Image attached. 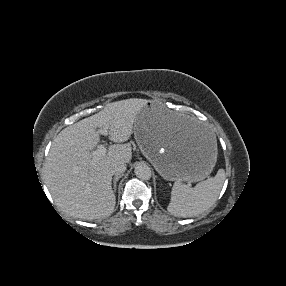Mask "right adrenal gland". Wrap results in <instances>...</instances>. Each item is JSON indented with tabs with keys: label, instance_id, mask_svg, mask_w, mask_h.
<instances>
[{
	"label": "right adrenal gland",
	"instance_id": "right-adrenal-gland-1",
	"mask_svg": "<svg viewBox=\"0 0 286 286\" xmlns=\"http://www.w3.org/2000/svg\"><path fill=\"white\" fill-rule=\"evenodd\" d=\"M122 177V175H119V176H115L114 179H113V190L114 192L116 191V188H117V181Z\"/></svg>",
	"mask_w": 286,
	"mask_h": 286
}]
</instances>
